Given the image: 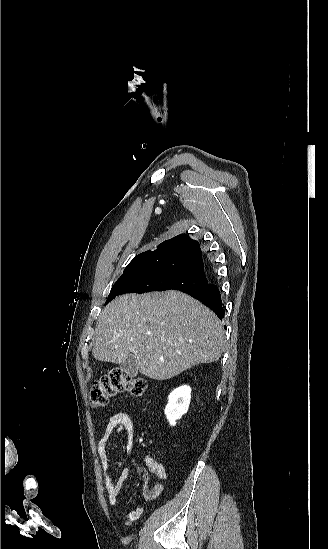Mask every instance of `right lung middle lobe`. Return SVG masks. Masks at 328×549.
<instances>
[{"mask_svg":"<svg viewBox=\"0 0 328 549\" xmlns=\"http://www.w3.org/2000/svg\"><path fill=\"white\" fill-rule=\"evenodd\" d=\"M205 277L168 269H133L124 271L112 287L106 304L124 293L193 289L207 284Z\"/></svg>","mask_w":328,"mask_h":549,"instance_id":"1","label":"right lung middle lobe"}]
</instances>
